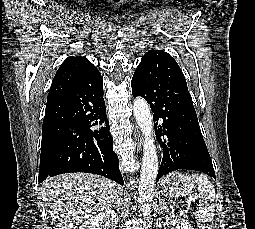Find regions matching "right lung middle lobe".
Returning a JSON list of instances; mask_svg holds the SVG:
<instances>
[{
    "mask_svg": "<svg viewBox=\"0 0 255 229\" xmlns=\"http://www.w3.org/2000/svg\"><path fill=\"white\" fill-rule=\"evenodd\" d=\"M61 133L62 128L60 126L42 131L40 167L49 166Z\"/></svg>",
    "mask_w": 255,
    "mask_h": 229,
    "instance_id": "1",
    "label": "right lung middle lobe"
}]
</instances>
